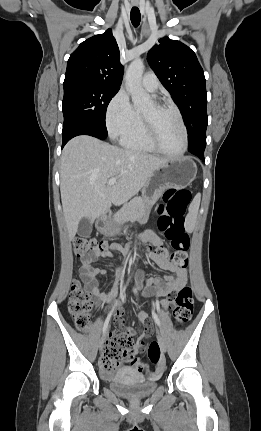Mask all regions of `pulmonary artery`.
<instances>
[{
    "label": "pulmonary artery",
    "mask_w": 261,
    "mask_h": 431,
    "mask_svg": "<svg viewBox=\"0 0 261 431\" xmlns=\"http://www.w3.org/2000/svg\"><path fill=\"white\" fill-rule=\"evenodd\" d=\"M142 85L146 90L155 92L159 86V81L154 73L147 72L142 78Z\"/></svg>",
    "instance_id": "e3ab8cb5"
}]
</instances>
